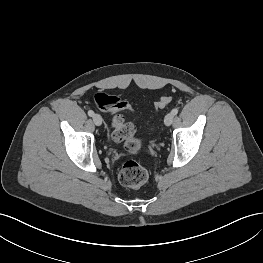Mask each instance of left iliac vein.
<instances>
[{
    "mask_svg": "<svg viewBox=\"0 0 263 263\" xmlns=\"http://www.w3.org/2000/svg\"><path fill=\"white\" fill-rule=\"evenodd\" d=\"M174 115L172 113H168L164 118V123L166 126H170L173 122Z\"/></svg>",
    "mask_w": 263,
    "mask_h": 263,
    "instance_id": "1",
    "label": "left iliac vein"
}]
</instances>
